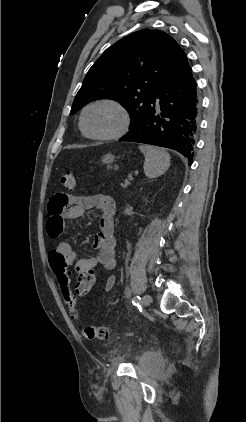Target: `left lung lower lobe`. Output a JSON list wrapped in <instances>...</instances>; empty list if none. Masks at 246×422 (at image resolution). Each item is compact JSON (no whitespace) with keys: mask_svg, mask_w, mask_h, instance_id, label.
I'll use <instances>...</instances> for the list:
<instances>
[{"mask_svg":"<svg viewBox=\"0 0 246 422\" xmlns=\"http://www.w3.org/2000/svg\"><path fill=\"white\" fill-rule=\"evenodd\" d=\"M200 96L186 54L153 93L141 122L119 141L146 143L180 152L192 164L199 128Z\"/></svg>","mask_w":246,"mask_h":422,"instance_id":"1","label":"left lung lower lobe"}]
</instances>
